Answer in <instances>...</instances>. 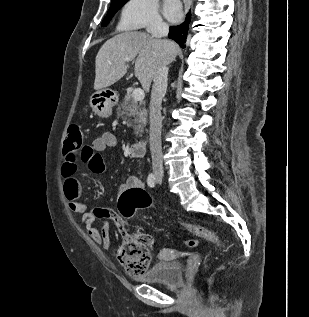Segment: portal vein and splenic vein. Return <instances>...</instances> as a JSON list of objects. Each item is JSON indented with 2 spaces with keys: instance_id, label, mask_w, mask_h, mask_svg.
Masks as SVG:
<instances>
[{
  "instance_id": "18ae733b",
  "label": "portal vein and splenic vein",
  "mask_w": 309,
  "mask_h": 317,
  "mask_svg": "<svg viewBox=\"0 0 309 317\" xmlns=\"http://www.w3.org/2000/svg\"><path fill=\"white\" fill-rule=\"evenodd\" d=\"M132 97L135 101H142L145 97L144 91L140 88H135L132 92Z\"/></svg>"
}]
</instances>
